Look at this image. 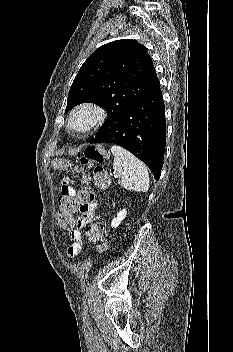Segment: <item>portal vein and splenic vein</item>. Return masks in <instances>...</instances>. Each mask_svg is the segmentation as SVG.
Wrapping results in <instances>:
<instances>
[{
    "label": "portal vein and splenic vein",
    "mask_w": 233,
    "mask_h": 352,
    "mask_svg": "<svg viewBox=\"0 0 233 352\" xmlns=\"http://www.w3.org/2000/svg\"><path fill=\"white\" fill-rule=\"evenodd\" d=\"M114 177H115V178H118V177H119V175L115 174V175H114Z\"/></svg>",
    "instance_id": "1"
}]
</instances>
